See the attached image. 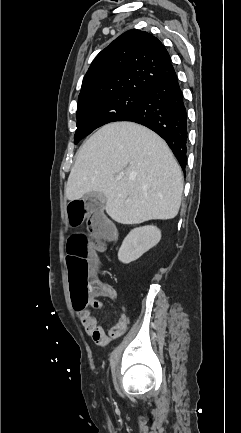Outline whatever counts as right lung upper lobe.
<instances>
[{"label":"right lung upper lobe","instance_id":"1","mask_svg":"<svg viewBox=\"0 0 241 433\" xmlns=\"http://www.w3.org/2000/svg\"><path fill=\"white\" fill-rule=\"evenodd\" d=\"M175 73L169 53L156 37L129 30L93 60L84 76L78 103L125 91L145 92Z\"/></svg>","mask_w":241,"mask_h":433}]
</instances>
